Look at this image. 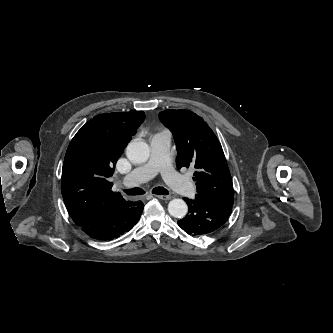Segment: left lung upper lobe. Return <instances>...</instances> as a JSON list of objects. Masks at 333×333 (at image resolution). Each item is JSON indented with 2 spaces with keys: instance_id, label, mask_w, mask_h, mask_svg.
I'll use <instances>...</instances> for the list:
<instances>
[{
  "instance_id": "1",
  "label": "left lung upper lobe",
  "mask_w": 333,
  "mask_h": 333,
  "mask_svg": "<svg viewBox=\"0 0 333 333\" xmlns=\"http://www.w3.org/2000/svg\"><path fill=\"white\" fill-rule=\"evenodd\" d=\"M159 117L174 135L177 168H195L196 196L232 207L234 190L227 161L220 142L203 118L188 110H165Z\"/></svg>"
}]
</instances>
